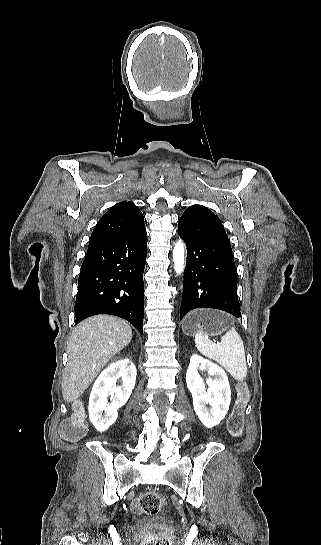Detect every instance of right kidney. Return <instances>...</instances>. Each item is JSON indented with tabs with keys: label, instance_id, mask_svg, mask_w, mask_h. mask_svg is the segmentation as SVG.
I'll use <instances>...</instances> for the list:
<instances>
[{
	"label": "right kidney",
	"instance_id": "obj_1",
	"mask_svg": "<svg viewBox=\"0 0 321 545\" xmlns=\"http://www.w3.org/2000/svg\"><path fill=\"white\" fill-rule=\"evenodd\" d=\"M136 375L135 365L130 359H123L109 365L95 381L89 397L88 411L91 423L100 433L107 431L115 423L118 409L127 403L135 387ZM117 379H122L120 387H116ZM108 395H111L112 403H107Z\"/></svg>",
	"mask_w": 321,
	"mask_h": 545
}]
</instances>
